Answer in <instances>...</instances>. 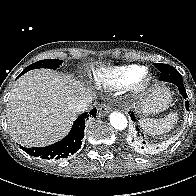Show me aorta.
Wrapping results in <instances>:
<instances>
[{"label": "aorta", "instance_id": "762f6f07", "mask_svg": "<svg viewBox=\"0 0 196 196\" xmlns=\"http://www.w3.org/2000/svg\"><path fill=\"white\" fill-rule=\"evenodd\" d=\"M109 119L111 125L117 130H124L127 127V118L120 112H112Z\"/></svg>", "mask_w": 196, "mask_h": 196}]
</instances>
